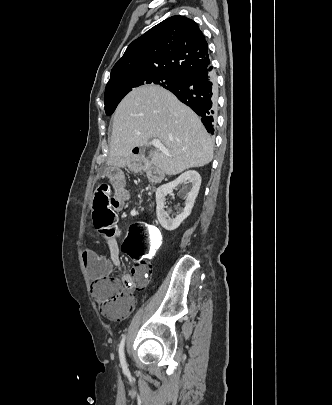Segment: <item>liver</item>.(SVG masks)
I'll return each mask as SVG.
<instances>
[{"instance_id":"6515ba94","label":"liver","mask_w":332,"mask_h":405,"mask_svg":"<svg viewBox=\"0 0 332 405\" xmlns=\"http://www.w3.org/2000/svg\"><path fill=\"white\" fill-rule=\"evenodd\" d=\"M150 139H159L170 154L155 151L151 159L167 175L205 166L213 158V141L200 118L159 86L134 89L116 108L109 162L124 165L132 149Z\"/></svg>"}]
</instances>
